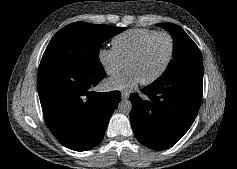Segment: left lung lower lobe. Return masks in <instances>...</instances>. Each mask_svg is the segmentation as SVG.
Listing matches in <instances>:
<instances>
[{
    "label": "left lung lower lobe",
    "mask_w": 237,
    "mask_h": 169,
    "mask_svg": "<svg viewBox=\"0 0 237 169\" xmlns=\"http://www.w3.org/2000/svg\"><path fill=\"white\" fill-rule=\"evenodd\" d=\"M203 70L155 81L130 96L131 125L137 140L154 150H165L191 127L202 100Z\"/></svg>",
    "instance_id": "1"
}]
</instances>
